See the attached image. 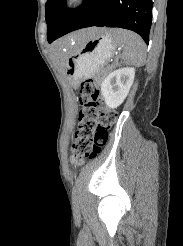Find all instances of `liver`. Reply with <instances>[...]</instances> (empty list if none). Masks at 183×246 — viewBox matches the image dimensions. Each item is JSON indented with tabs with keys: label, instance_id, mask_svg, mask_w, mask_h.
Segmentation results:
<instances>
[{
	"label": "liver",
	"instance_id": "liver-1",
	"mask_svg": "<svg viewBox=\"0 0 183 246\" xmlns=\"http://www.w3.org/2000/svg\"><path fill=\"white\" fill-rule=\"evenodd\" d=\"M101 29L99 28H89V29H84L78 32H75L71 35H69L68 37L58 41L56 43V50H57V55L59 56V58H61L62 60L66 59V56L64 54V47L66 45H68L69 43L75 41L78 44H83L86 41L92 39L94 36L97 35V33L100 31Z\"/></svg>",
	"mask_w": 183,
	"mask_h": 246
}]
</instances>
